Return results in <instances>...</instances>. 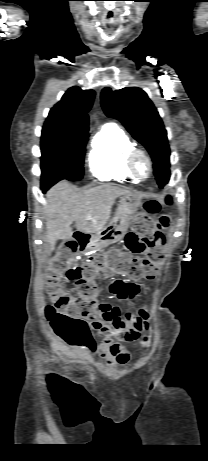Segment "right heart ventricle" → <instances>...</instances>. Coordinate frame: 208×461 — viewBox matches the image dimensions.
<instances>
[{
	"label": "right heart ventricle",
	"mask_w": 208,
	"mask_h": 461,
	"mask_svg": "<svg viewBox=\"0 0 208 461\" xmlns=\"http://www.w3.org/2000/svg\"><path fill=\"white\" fill-rule=\"evenodd\" d=\"M134 147L129 136L117 125L106 124L92 142L89 152V168L101 181L132 178L127 158Z\"/></svg>",
	"instance_id": "1"
}]
</instances>
